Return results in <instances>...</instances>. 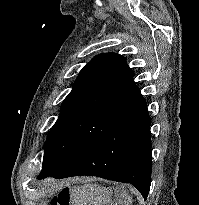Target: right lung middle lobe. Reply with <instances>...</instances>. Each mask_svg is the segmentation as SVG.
<instances>
[{"instance_id": "1", "label": "right lung middle lobe", "mask_w": 199, "mask_h": 205, "mask_svg": "<svg viewBox=\"0 0 199 205\" xmlns=\"http://www.w3.org/2000/svg\"><path fill=\"white\" fill-rule=\"evenodd\" d=\"M123 120L105 113L78 109L61 111L48 133L42 171L50 175L89 147L100 142Z\"/></svg>"}]
</instances>
